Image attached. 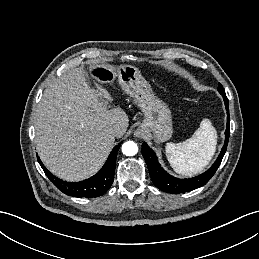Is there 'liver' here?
Returning a JSON list of instances; mask_svg holds the SVG:
<instances>
[{"label":"liver","mask_w":259,"mask_h":259,"mask_svg":"<svg viewBox=\"0 0 259 259\" xmlns=\"http://www.w3.org/2000/svg\"><path fill=\"white\" fill-rule=\"evenodd\" d=\"M88 75L76 68L62 75L44 91L35 110V143L40 159L57 177L79 181L92 176L105 162L115 137L129 125L121 108L108 109L107 90L97 92ZM120 127L113 135L111 128Z\"/></svg>","instance_id":"1"}]
</instances>
